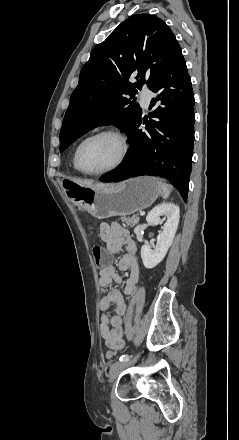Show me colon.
Wrapping results in <instances>:
<instances>
[{
    "mask_svg": "<svg viewBox=\"0 0 239 440\" xmlns=\"http://www.w3.org/2000/svg\"><path fill=\"white\" fill-rule=\"evenodd\" d=\"M93 256H94L96 264L100 267L106 266L110 261V257L108 256L107 252L101 246H95L93 248ZM114 356H115V354H114L113 350H107L105 352V357L109 361H113Z\"/></svg>",
    "mask_w": 239,
    "mask_h": 440,
    "instance_id": "1",
    "label": "colon"
}]
</instances>
